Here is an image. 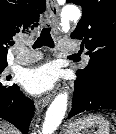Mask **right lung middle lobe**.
Returning a JSON list of instances; mask_svg holds the SVG:
<instances>
[{"mask_svg": "<svg viewBox=\"0 0 116 134\" xmlns=\"http://www.w3.org/2000/svg\"><path fill=\"white\" fill-rule=\"evenodd\" d=\"M7 66V62L0 63V100H7L11 98L17 91L18 86L16 84H9L10 76H6L4 69Z\"/></svg>", "mask_w": 116, "mask_h": 134, "instance_id": "obj_1", "label": "right lung middle lobe"}]
</instances>
